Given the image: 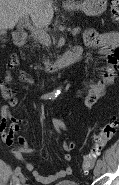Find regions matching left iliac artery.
<instances>
[{"label":"left iliac artery","mask_w":119,"mask_h":185,"mask_svg":"<svg viewBox=\"0 0 119 185\" xmlns=\"http://www.w3.org/2000/svg\"><path fill=\"white\" fill-rule=\"evenodd\" d=\"M97 165L102 166V165H103V161H102L101 159H99V160L97 161Z\"/></svg>","instance_id":"44dca946"}]
</instances>
